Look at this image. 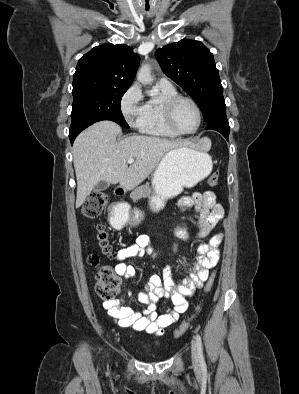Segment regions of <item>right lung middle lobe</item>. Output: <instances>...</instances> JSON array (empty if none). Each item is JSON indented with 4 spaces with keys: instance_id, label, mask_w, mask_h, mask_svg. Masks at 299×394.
<instances>
[{
    "instance_id": "right-lung-middle-lobe-1",
    "label": "right lung middle lobe",
    "mask_w": 299,
    "mask_h": 394,
    "mask_svg": "<svg viewBox=\"0 0 299 394\" xmlns=\"http://www.w3.org/2000/svg\"><path fill=\"white\" fill-rule=\"evenodd\" d=\"M127 89L92 85L74 87L71 123L111 120L128 128L121 112V99Z\"/></svg>"
}]
</instances>
